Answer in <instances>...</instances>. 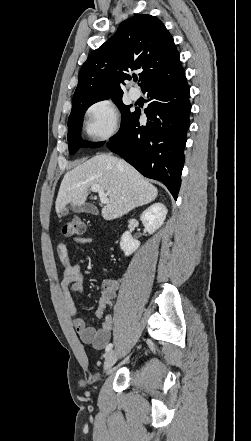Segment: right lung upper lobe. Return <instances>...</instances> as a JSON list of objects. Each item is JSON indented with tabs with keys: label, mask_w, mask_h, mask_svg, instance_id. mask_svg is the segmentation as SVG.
<instances>
[{
	"label": "right lung upper lobe",
	"mask_w": 251,
	"mask_h": 441,
	"mask_svg": "<svg viewBox=\"0 0 251 441\" xmlns=\"http://www.w3.org/2000/svg\"><path fill=\"white\" fill-rule=\"evenodd\" d=\"M181 65L179 53L164 24L151 15H135L92 51L82 65L73 101L122 96L121 84L132 70L142 69L140 87Z\"/></svg>",
	"instance_id": "right-lung-upper-lobe-1"
}]
</instances>
